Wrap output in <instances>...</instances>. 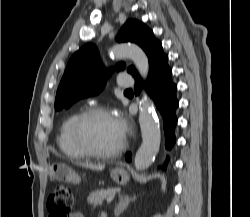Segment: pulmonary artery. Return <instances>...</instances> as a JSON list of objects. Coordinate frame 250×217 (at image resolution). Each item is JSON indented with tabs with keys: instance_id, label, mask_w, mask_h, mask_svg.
I'll use <instances>...</instances> for the list:
<instances>
[{
	"instance_id": "pulmonary-artery-1",
	"label": "pulmonary artery",
	"mask_w": 250,
	"mask_h": 217,
	"mask_svg": "<svg viewBox=\"0 0 250 217\" xmlns=\"http://www.w3.org/2000/svg\"><path fill=\"white\" fill-rule=\"evenodd\" d=\"M133 84V80L131 78L125 77L124 74L118 77V85L122 88H129Z\"/></svg>"
}]
</instances>
